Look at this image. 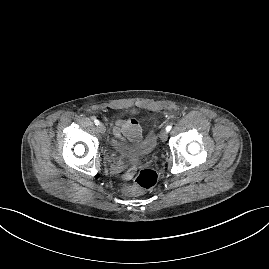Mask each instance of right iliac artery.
<instances>
[{
	"label": "right iliac artery",
	"instance_id": "obj_1",
	"mask_svg": "<svg viewBox=\"0 0 269 269\" xmlns=\"http://www.w3.org/2000/svg\"><path fill=\"white\" fill-rule=\"evenodd\" d=\"M94 123H95L96 125H99V124H100V121L97 120V119H95V120H94Z\"/></svg>",
	"mask_w": 269,
	"mask_h": 269
}]
</instances>
